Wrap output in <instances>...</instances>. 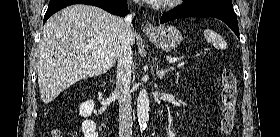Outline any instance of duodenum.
Segmentation results:
<instances>
[{
    "label": "duodenum",
    "mask_w": 280,
    "mask_h": 137,
    "mask_svg": "<svg viewBox=\"0 0 280 137\" xmlns=\"http://www.w3.org/2000/svg\"><path fill=\"white\" fill-rule=\"evenodd\" d=\"M107 82H103L100 86H99V90L103 89L106 86Z\"/></svg>",
    "instance_id": "duodenum-1"
}]
</instances>
